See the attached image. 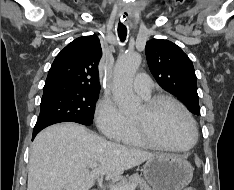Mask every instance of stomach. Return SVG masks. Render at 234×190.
<instances>
[{
	"label": "stomach",
	"mask_w": 234,
	"mask_h": 190,
	"mask_svg": "<svg viewBox=\"0 0 234 190\" xmlns=\"http://www.w3.org/2000/svg\"><path fill=\"white\" fill-rule=\"evenodd\" d=\"M143 173L153 190H182L191 182L193 168L179 156L161 154L145 163Z\"/></svg>",
	"instance_id": "stomach-1"
}]
</instances>
